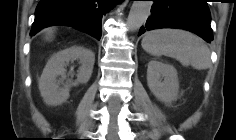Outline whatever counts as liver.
<instances>
[{
  "instance_id": "obj_1",
  "label": "liver",
  "mask_w": 236,
  "mask_h": 140,
  "mask_svg": "<svg viewBox=\"0 0 236 140\" xmlns=\"http://www.w3.org/2000/svg\"><path fill=\"white\" fill-rule=\"evenodd\" d=\"M45 33H46L47 38H50V37H52L54 30L52 28H50V29H47L45 31Z\"/></svg>"
}]
</instances>
